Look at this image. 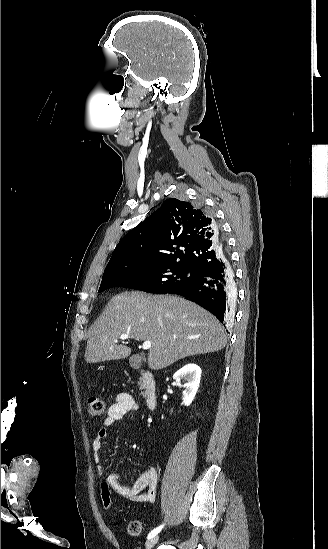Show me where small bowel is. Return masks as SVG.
<instances>
[{"mask_svg": "<svg viewBox=\"0 0 328 549\" xmlns=\"http://www.w3.org/2000/svg\"><path fill=\"white\" fill-rule=\"evenodd\" d=\"M139 409L137 402L128 393H118L114 403L109 407L104 426L97 432L92 444L93 459L97 464V474L104 476L101 466V450L107 437L108 428L114 423L122 420L127 414L136 412ZM124 476L118 473H108L104 481L119 496L135 503H152L156 499L157 492V471L154 466H147L138 480L129 485H123Z\"/></svg>", "mask_w": 328, "mask_h": 549, "instance_id": "obj_1", "label": "small bowel"}]
</instances>
